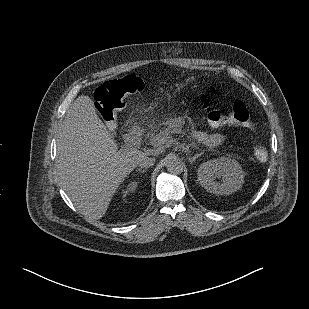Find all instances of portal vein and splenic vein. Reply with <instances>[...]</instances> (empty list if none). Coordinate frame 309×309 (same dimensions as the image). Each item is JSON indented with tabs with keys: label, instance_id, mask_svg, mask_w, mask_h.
<instances>
[{
	"label": "portal vein and splenic vein",
	"instance_id": "obj_1",
	"mask_svg": "<svg viewBox=\"0 0 309 309\" xmlns=\"http://www.w3.org/2000/svg\"><path fill=\"white\" fill-rule=\"evenodd\" d=\"M165 139H157V141L154 143V147H159L160 145L164 144Z\"/></svg>",
	"mask_w": 309,
	"mask_h": 309
}]
</instances>
